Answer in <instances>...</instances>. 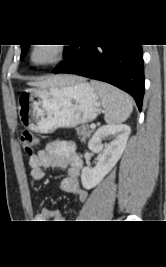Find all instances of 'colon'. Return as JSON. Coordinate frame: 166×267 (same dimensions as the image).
<instances>
[{
    "mask_svg": "<svg viewBox=\"0 0 166 267\" xmlns=\"http://www.w3.org/2000/svg\"><path fill=\"white\" fill-rule=\"evenodd\" d=\"M20 143L27 154H33L39 145V140L34 133L24 131L21 134Z\"/></svg>",
    "mask_w": 166,
    "mask_h": 267,
    "instance_id": "5ec220e1",
    "label": "colon"
}]
</instances>
